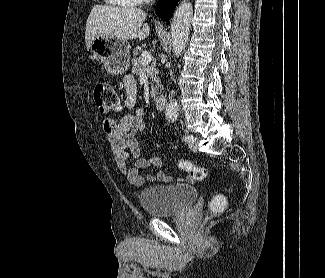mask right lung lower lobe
Segmentation results:
<instances>
[{
    "label": "right lung lower lobe",
    "mask_w": 325,
    "mask_h": 278,
    "mask_svg": "<svg viewBox=\"0 0 325 278\" xmlns=\"http://www.w3.org/2000/svg\"><path fill=\"white\" fill-rule=\"evenodd\" d=\"M178 1L179 0H159L156 5V14L166 22H169Z\"/></svg>",
    "instance_id": "obj_1"
}]
</instances>
